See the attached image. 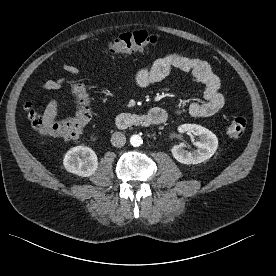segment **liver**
I'll list each match as a JSON object with an SVG mask.
<instances>
[{"label":"liver","instance_id":"liver-1","mask_svg":"<svg viewBox=\"0 0 276 276\" xmlns=\"http://www.w3.org/2000/svg\"><path fill=\"white\" fill-rule=\"evenodd\" d=\"M58 104L56 100H51L47 105L43 115L44 134L46 135L50 126L57 116Z\"/></svg>","mask_w":276,"mask_h":276}]
</instances>
